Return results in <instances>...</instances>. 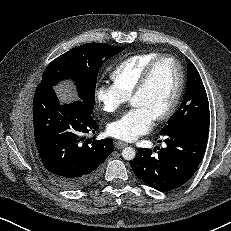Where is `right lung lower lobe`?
I'll list each match as a JSON object with an SVG mask.
<instances>
[{"instance_id": "obj_1", "label": "right lung lower lobe", "mask_w": 231, "mask_h": 231, "mask_svg": "<svg viewBox=\"0 0 231 231\" xmlns=\"http://www.w3.org/2000/svg\"><path fill=\"white\" fill-rule=\"evenodd\" d=\"M34 136L49 177L68 190L94 183L104 160L113 152L111 139L89 140L99 126L92 112L79 100L61 105L53 86L40 83L33 101Z\"/></svg>"}]
</instances>
